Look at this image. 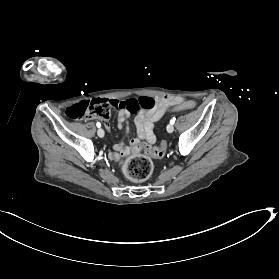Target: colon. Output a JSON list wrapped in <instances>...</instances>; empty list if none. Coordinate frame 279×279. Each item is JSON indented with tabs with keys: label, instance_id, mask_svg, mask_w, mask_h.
<instances>
[{
	"label": "colon",
	"instance_id": "5ec220e1",
	"mask_svg": "<svg viewBox=\"0 0 279 279\" xmlns=\"http://www.w3.org/2000/svg\"><path fill=\"white\" fill-rule=\"evenodd\" d=\"M155 105V99L148 96L127 100L96 98L91 101H82L70 106L66 110V115L75 120L89 116L107 120L110 116L111 109H121L136 113L141 110H151ZM195 107L196 103L194 101H184L175 105L173 109L190 110ZM166 149L167 145L164 141L154 147L142 144L134 145L132 154L125 157L121 162L123 174L134 182L147 180L153 171L151 159L162 158L166 153Z\"/></svg>",
	"mask_w": 279,
	"mask_h": 279
}]
</instances>
